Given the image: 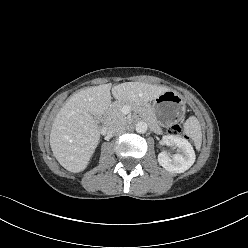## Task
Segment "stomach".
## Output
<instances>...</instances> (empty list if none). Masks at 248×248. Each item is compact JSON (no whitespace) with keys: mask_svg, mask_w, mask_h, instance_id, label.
<instances>
[{"mask_svg":"<svg viewBox=\"0 0 248 248\" xmlns=\"http://www.w3.org/2000/svg\"><path fill=\"white\" fill-rule=\"evenodd\" d=\"M150 111L159 124L167 126L182 118L185 113V103L181 95L168 90L154 99Z\"/></svg>","mask_w":248,"mask_h":248,"instance_id":"obj_1","label":"stomach"}]
</instances>
